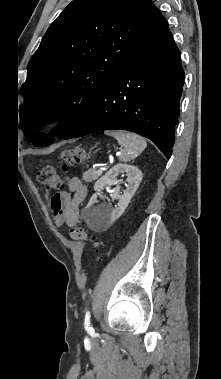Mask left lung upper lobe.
I'll list each match as a JSON object with an SVG mask.
<instances>
[{
  "instance_id": "5c2ea615",
  "label": "left lung upper lobe",
  "mask_w": 221,
  "mask_h": 379,
  "mask_svg": "<svg viewBox=\"0 0 221 379\" xmlns=\"http://www.w3.org/2000/svg\"><path fill=\"white\" fill-rule=\"evenodd\" d=\"M161 17L151 0L72 1L28 64L19 110L28 141L38 146L53 142V136L33 130L60 118L54 135L64 138Z\"/></svg>"
}]
</instances>
